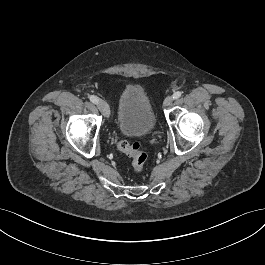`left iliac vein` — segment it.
Instances as JSON below:
<instances>
[{"mask_svg": "<svg viewBox=\"0 0 265 265\" xmlns=\"http://www.w3.org/2000/svg\"><path fill=\"white\" fill-rule=\"evenodd\" d=\"M172 102H173V97L172 96H168L163 102V107L164 108L169 107L172 104Z\"/></svg>", "mask_w": 265, "mask_h": 265, "instance_id": "obj_1", "label": "left iliac vein"}]
</instances>
